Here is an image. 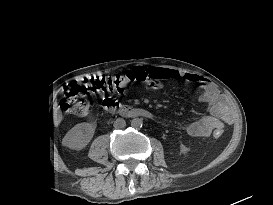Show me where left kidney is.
<instances>
[{"mask_svg":"<svg viewBox=\"0 0 273 205\" xmlns=\"http://www.w3.org/2000/svg\"><path fill=\"white\" fill-rule=\"evenodd\" d=\"M188 151H189V149L186 146L180 145V152L182 154H186Z\"/></svg>","mask_w":273,"mask_h":205,"instance_id":"obj_1","label":"left kidney"}]
</instances>
